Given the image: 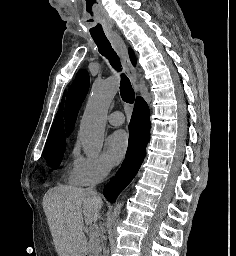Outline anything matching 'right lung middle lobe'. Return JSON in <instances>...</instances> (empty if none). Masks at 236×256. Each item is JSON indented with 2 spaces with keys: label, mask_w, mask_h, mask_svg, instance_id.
Listing matches in <instances>:
<instances>
[{
  "label": "right lung middle lobe",
  "mask_w": 236,
  "mask_h": 256,
  "mask_svg": "<svg viewBox=\"0 0 236 256\" xmlns=\"http://www.w3.org/2000/svg\"><path fill=\"white\" fill-rule=\"evenodd\" d=\"M64 151L65 139L54 142H46L44 148V158L52 169H56L60 165Z\"/></svg>",
  "instance_id": "obj_1"
}]
</instances>
